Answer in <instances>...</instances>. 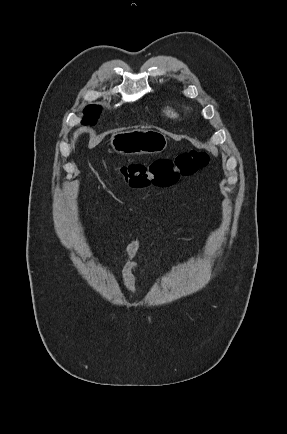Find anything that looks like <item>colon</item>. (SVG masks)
Segmentation results:
<instances>
[{
    "instance_id": "5ec220e1",
    "label": "colon",
    "mask_w": 287,
    "mask_h": 434,
    "mask_svg": "<svg viewBox=\"0 0 287 434\" xmlns=\"http://www.w3.org/2000/svg\"><path fill=\"white\" fill-rule=\"evenodd\" d=\"M208 162L207 153L191 150L177 155L173 160L158 159L148 165L128 164L120 168V173L126 184L132 188L168 187L175 184L180 177L193 175Z\"/></svg>"
}]
</instances>
